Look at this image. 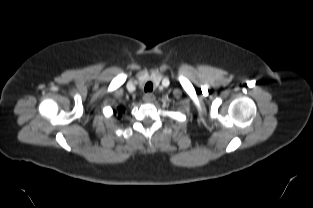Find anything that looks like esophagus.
Listing matches in <instances>:
<instances>
[{
    "label": "esophagus",
    "mask_w": 313,
    "mask_h": 208,
    "mask_svg": "<svg viewBox=\"0 0 313 208\" xmlns=\"http://www.w3.org/2000/svg\"><path fill=\"white\" fill-rule=\"evenodd\" d=\"M154 99H155V96H154L153 94H151V93H146V94L143 96V100H144V102H146V103H150V102L154 101Z\"/></svg>",
    "instance_id": "esophagus-1"
}]
</instances>
